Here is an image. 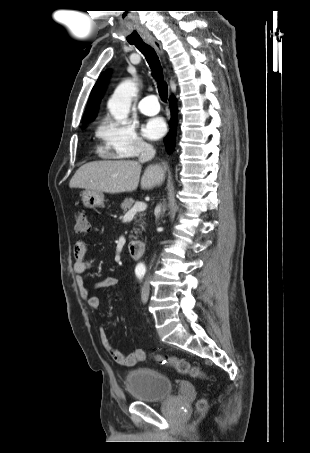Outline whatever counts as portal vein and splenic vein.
Masks as SVG:
<instances>
[{
	"mask_svg": "<svg viewBox=\"0 0 310 453\" xmlns=\"http://www.w3.org/2000/svg\"><path fill=\"white\" fill-rule=\"evenodd\" d=\"M147 205L143 202H136L134 206L129 209V211L126 213V215H135L137 212H141L146 210Z\"/></svg>",
	"mask_w": 310,
	"mask_h": 453,
	"instance_id": "portal-vein-and-splenic-vein-1",
	"label": "portal vein and splenic vein"
}]
</instances>
